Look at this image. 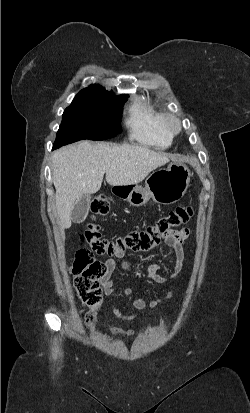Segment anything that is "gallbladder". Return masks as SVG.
I'll use <instances>...</instances> for the list:
<instances>
[{
  "label": "gallbladder",
  "instance_id": "bac80fb5",
  "mask_svg": "<svg viewBox=\"0 0 250 413\" xmlns=\"http://www.w3.org/2000/svg\"><path fill=\"white\" fill-rule=\"evenodd\" d=\"M90 200L91 196L85 194L76 202L71 213V219L74 223L79 224L86 219L90 207Z\"/></svg>",
  "mask_w": 250,
  "mask_h": 413
}]
</instances>
